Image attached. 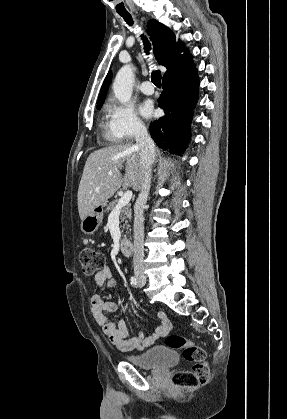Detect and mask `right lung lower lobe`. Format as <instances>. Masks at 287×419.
Listing matches in <instances>:
<instances>
[{
    "label": "right lung lower lobe",
    "mask_w": 287,
    "mask_h": 419,
    "mask_svg": "<svg viewBox=\"0 0 287 419\" xmlns=\"http://www.w3.org/2000/svg\"><path fill=\"white\" fill-rule=\"evenodd\" d=\"M163 91L158 99L165 115L150 124V134L162 149L179 154L190 138V121L198 100L199 80L195 65L176 75L163 77Z\"/></svg>",
    "instance_id": "1"
}]
</instances>
